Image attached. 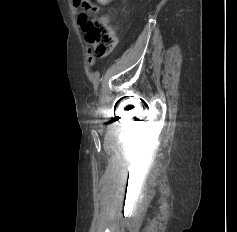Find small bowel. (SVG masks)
Wrapping results in <instances>:
<instances>
[{"mask_svg":"<svg viewBox=\"0 0 237 232\" xmlns=\"http://www.w3.org/2000/svg\"><path fill=\"white\" fill-rule=\"evenodd\" d=\"M105 21L107 22V20ZM87 60L89 65H93L95 63V57L93 56L91 49H88Z\"/></svg>","mask_w":237,"mask_h":232,"instance_id":"obj_1","label":"small bowel"}]
</instances>
